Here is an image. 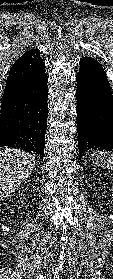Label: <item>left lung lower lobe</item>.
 I'll list each match as a JSON object with an SVG mask.
<instances>
[{"instance_id":"obj_1","label":"left lung lower lobe","mask_w":113,"mask_h":279,"mask_svg":"<svg viewBox=\"0 0 113 279\" xmlns=\"http://www.w3.org/2000/svg\"><path fill=\"white\" fill-rule=\"evenodd\" d=\"M76 75L80 158L91 150L113 151V94L102 65L84 57Z\"/></svg>"}]
</instances>
